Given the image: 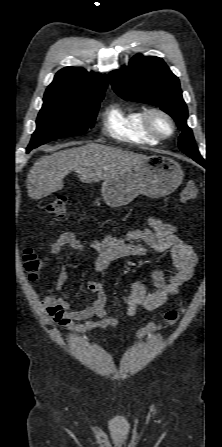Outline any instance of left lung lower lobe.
<instances>
[{"instance_id":"1","label":"left lung lower lobe","mask_w":222,"mask_h":447,"mask_svg":"<svg viewBox=\"0 0 222 447\" xmlns=\"http://www.w3.org/2000/svg\"><path fill=\"white\" fill-rule=\"evenodd\" d=\"M193 159H194L196 162H198L199 164L204 165V160H203V158L194 157Z\"/></svg>"}]
</instances>
